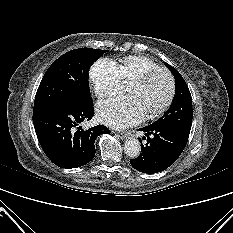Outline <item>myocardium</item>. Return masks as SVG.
Masks as SVG:
<instances>
[{
    "mask_svg": "<svg viewBox=\"0 0 233 233\" xmlns=\"http://www.w3.org/2000/svg\"><path fill=\"white\" fill-rule=\"evenodd\" d=\"M157 73H163L167 76V78L169 80V93H168V96H167L165 102L159 108H157L156 110H154L152 112L146 113V117L148 119H152V118H156V117L160 116L172 104L174 97H175V93H176V83H175L174 76L172 75V73L169 70L162 68V67H158V68L149 69V70L145 71L144 73L140 74L139 76H137L131 80V83L144 84L153 75H155Z\"/></svg>",
    "mask_w": 233,
    "mask_h": 233,
    "instance_id": "1",
    "label": "myocardium"
}]
</instances>
